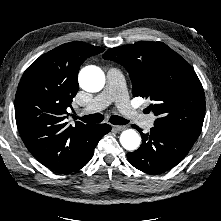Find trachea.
Masks as SVG:
<instances>
[{
  "label": "trachea",
  "mask_w": 221,
  "mask_h": 221,
  "mask_svg": "<svg viewBox=\"0 0 221 221\" xmlns=\"http://www.w3.org/2000/svg\"><path fill=\"white\" fill-rule=\"evenodd\" d=\"M80 120H82L85 123H100L104 120V116L100 113H96L80 117ZM110 122L114 125H125L129 123L128 120L117 115H112L110 117Z\"/></svg>",
  "instance_id": "trachea-1"
}]
</instances>
